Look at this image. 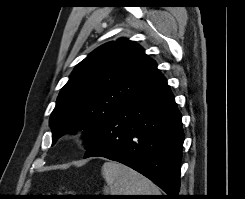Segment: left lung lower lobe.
Instances as JSON below:
<instances>
[{"instance_id":"0a47b994","label":"left lung lower lobe","mask_w":245,"mask_h":199,"mask_svg":"<svg viewBox=\"0 0 245 199\" xmlns=\"http://www.w3.org/2000/svg\"><path fill=\"white\" fill-rule=\"evenodd\" d=\"M184 133L181 115L160 72L104 123L85 158L101 156L143 174L177 199Z\"/></svg>"}]
</instances>
